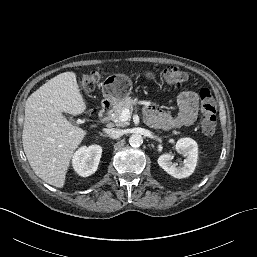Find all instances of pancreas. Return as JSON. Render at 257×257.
<instances>
[{"mask_svg": "<svg viewBox=\"0 0 257 257\" xmlns=\"http://www.w3.org/2000/svg\"><path fill=\"white\" fill-rule=\"evenodd\" d=\"M140 104H142V102L137 98L126 97L114 106V111L111 116L112 120L115 121L118 126H126L127 122H122L119 120L121 112L124 109H133V107H136Z\"/></svg>", "mask_w": 257, "mask_h": 257, "instance_id": "obj_1", "label": "pancreas"}]
</instances>
